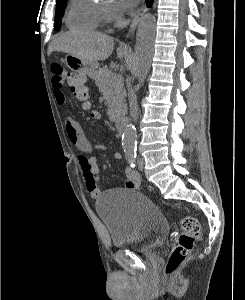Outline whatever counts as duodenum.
Listing matches in <instances>:
<instances>
[{
	"instance_id": "410a0bca",
	"label": "duodenum",
	"mask_w": 245,
	"mask_h": 300,
	"mask_svg": "<svg viewBox=\"0 0 245 300\" xmlns=\"http://www.w3.org/2000/svg\"><path fill=\"white\" fill-rule=\"evenodd\" d=\"M115 124L119 132H124L127 125V120L126 118L119 116L115 118Z\"/></svg>"
}]
</instances>
